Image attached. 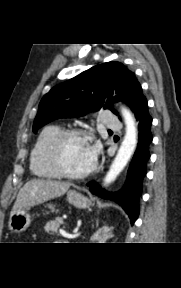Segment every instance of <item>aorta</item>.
Returning <instances> with one entry per match:
<instances>
[{
    "label": "aorta",
    "mask_w": 181,
    "mask_h": 288,
    "mask_svg": "<svg viewBox=\"0 0 181 288\" xmlns=\"http://www.w3.org/2000/svg\"><path fill=\"white\" fill-rule=\"evenodd\" d=\"M121 112L126 124V134L120 145L117 155L105 176L104 185L112 183L123 171L131 156L133 155L137 145V129L135 120L129 110L123 108Z\"/></svg>",
    "instance_id": "obj_1"
}]
</instances>
